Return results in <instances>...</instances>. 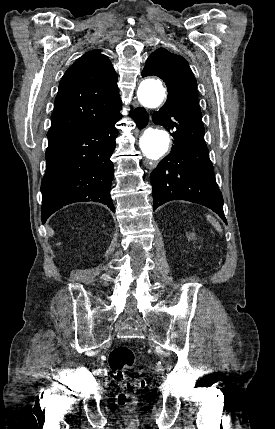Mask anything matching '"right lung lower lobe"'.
Listing matches in <instances>:
<instances>
[{
  "label": "right lung lower lobe",
  "mask_w": 275,
  "mask_h": 429,
  "mask_svg": "<svg viewBox=\"0 0 275 429\" xmlns=\"http://www.w3.org/2000/svg\"><path fill=\"white\" fill-rule=\"evenodd\" d=\"M139 128L148 123L143 108L131 111ZM121 115L100 123L77 128L49 138L46 150V173L42 179L41 219L74 202L95 201L114 211L110 196L114 166L110 157L118 131L115 123Z\"/></svg>",
  "instance_id": "98d812e1"
}]
</instances>
